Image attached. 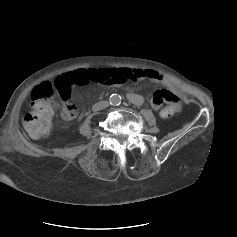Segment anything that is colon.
I'll use <instances>...</instances> for the list:
<instances>
[{
	"label": "colon",
	"instance_id": "1",
	"mask_svg": "<svg viewBox=\"0 0 237 237\" xmlns=\"http://www.w3.org/2000/svg\"><path fill=\"white\" fill-rule=\"evenodd\" d=\"M107 81L124 82L116 70H77L57 77L53 82H44L36 87L31 95V111L25 115L23 125L33 138L49 134L53 120V100L59 96L64 101V108L69 115L76 112L75 106L69 103L74 86L90 82L104 83ZM176 113V108L167 106L160 110L161 118L166 119Z\"/></svg>",
	"mask_w": 237,
	"mask_h": 237
}]
</instances>
